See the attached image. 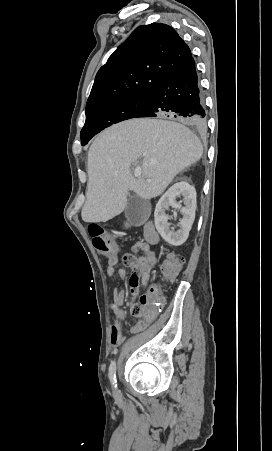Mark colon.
<instances>
[{
	"mask_svg": "<svg viewBox=\"0 0 272 451\" xmlns=\"http://www.w3.org/2000/svg\"><path fill=\"white\" fill-rule=\"evenodd\" d=\"M89 233L92 237V243L99 254L103 256H116L119 246L118 242L109 241L113 236L106 237L103 228L100 226L89 227ZM169 257L173 258L174 254L170 253ZM107 263L109 266L113 267L117 262L115 259L111 258ZM123 263L125 266L136 271H149L150 269L149 262H144L143 260L138 261L136 257L130 253H125L123 255ZM162 269L164 270V278H173L175 275L174 270L176 269V261L172 260L171 262H164L162 264ZM168 301L169 296L168 294H165L164 288H148L145 291V294H141L140 301L133 304L131 311L134 315H140L143 312L144 307L147 310H150L153 305L159 306L162 305V303H168ZM145 325L146 321H140L134 326L133 331L137 332L145 327ZM110 340L111 344L116 347L120 346L122 342L121 333L117 325H112L111 327Z\"/></svg>",
	"mask_w": 272,
	"mask_h": 451,
	"instance_id": "colon-1",
	"label": "colon"
}]
</instances>
